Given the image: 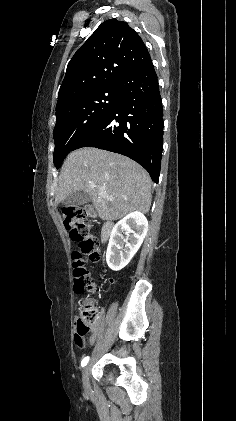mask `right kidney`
I'll return each mask as SVG.
<instances>
[{"mask_svg":"<svg viewBox=\"0 0 236 421\" xmlns=\"http://www.w3.org/2000/svg\"><path fill=\"white\" fill-rule=\"evenodd\" d=\"M147 231L148 221L139 211L130 213L113 227L106 253V263L112 271H121L130 263L141 247ZM122 233H132V235L129 239H124Z\"/></svg>","mask_w":236,"mask_h":421,"instance_id":"right-kidney-1","label":"right kidney"}]
</instances>
